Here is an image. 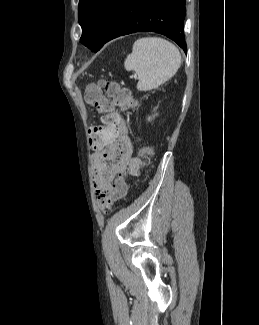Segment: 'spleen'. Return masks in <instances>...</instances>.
Wrapping results in <instances>:
<instances>
[{"mask_svg":"<svg viewBox=\"0 0 259 325\" xmlns=\"http://www.w3.org/2000/svg\"><path fill=\"white\" fill-rule=\"evenodd\" d=\"M181 65V54L171 42L160 37H143L133 44L124 67L138 75L137 89L148 91L172 78Z\"/></svg>","mask_w":259,"mask_h":325,"instance_id":"spleen-1","label":"spleen"}]
</instances>
